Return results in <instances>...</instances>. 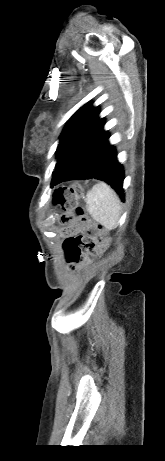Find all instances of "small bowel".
Wrapping results in <instances>:
<instances>
[{"instance_id":"c3829d8e","label":"small bowel","mask_w":165,"mask_h":461,"mask_svg":"<svg viewBox=\"0 0 165 461\" xmlns=\"http://www.w3.org/2000/svg\"><path fill=\"white\" fill-rule=\"evenodd\" d=\"M78 222L71 225V229H62L61 233L56 234V239L62 241L61 252L63 253V262L68 263L70 270H75L77 266L84 265V258L87 250L84 248L86 242H90L93 236V229H82ZM81 230V234H76Z\"/></svg>"}]
</instances>
